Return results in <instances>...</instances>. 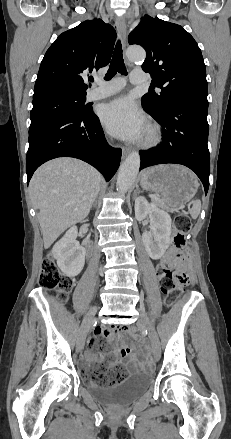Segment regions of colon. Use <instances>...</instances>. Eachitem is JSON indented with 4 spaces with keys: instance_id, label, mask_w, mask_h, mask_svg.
<instances>
[{
    "instance_id": "obj_1",
    "label": "colon",
    "mask_w": 231,
    "mask_h": 439,
    "mask_svg": "<svg viewBox=\"0 0 231 439\" xmlns=\"http://www.w3.org/2000/svg\"><path fill=\"white\" fill-rule=\"evenodd\" d=\"M191 227V220L186 213H179L174 220L175 232L172 242L177 250L176 259L172 263H164L158 267V277L161 287L167 296V302L173 303L183 286H188L191 282L189 272L183 267H177V264L184 261L188 252L186 249L185 233ZM39 285L45 290H54L58 298L64 301L73 286L70 277L63 275L57 268L52 258H47L42 263L41 273L39 276ZM117 332L134 334L135 330L131 326H121L116 329ZM91 344L95 350L105 352L107 346L102 339H93ZM127 376V370L120 366L114 365L107 370L93 369L92 379L100 386H112L122 382Z\"/></svg>"
}]
</instances>
